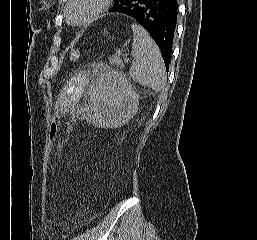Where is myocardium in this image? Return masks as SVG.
Returning a JSON list of instances; mask_svg holds the SVG:
<instances>
[{"mask_svg":"<svg viewBox=\"0 0 257 240\" xmlns=\"http://www.w3.org/2000/svg\"><path fill=\"white\" fill-rule=\"evenodd\" d=\"M75 0H68L65 6V15L68 22L76 27H83L96 20L103 12H105L109 6L110 0H96V6L90 14H88L83 20L75 22L71 18L70 7Z\"/></svg>","mask_w":257,"mask_h":240,"instance_id":"myocardium-1","label":"myocardium"}]
</instances>
